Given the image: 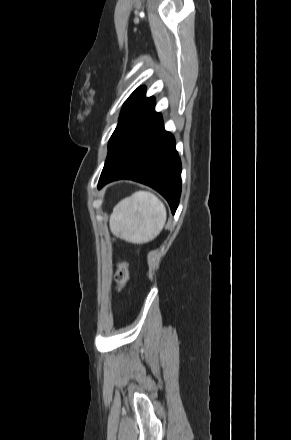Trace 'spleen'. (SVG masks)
I'll return each mask as SVG.
<instances>
[{
	"mask_svg": "<svg viewBox=\"0 0 291 440\" xmlns=\"http://www.w3.org/2000/svg\"><path fill=\"white\" fill-rule=\"evenodd\" d=\"M166 218V208L156 195L136 191L114 207L110 215V230L127 242L148 243L160 234Z\"/></svg>",
	"mask_w": 291,
	"mask_h": 440,
	"instance_id": "obj_1",
	"label": "spleen"
}]
</instances>
